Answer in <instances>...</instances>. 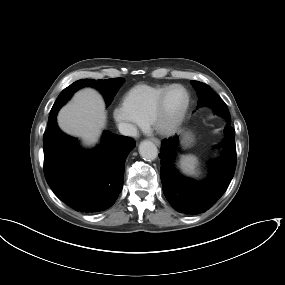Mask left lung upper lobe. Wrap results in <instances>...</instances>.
Returning <instances> with one entry per match:
<instances>
[{
	"label": "left lung upper lobe",
	"mask_w": 285,
	"mask_h": 285,
	"mask_svg": "<svg viewBox=\"0 0 285 285\" xmlns=\"http://www.w3.org/2000/svg\"><path fill=\"white\" fill-rule=\"evenodd\" d=\"M191 83L197 89L199 95L198 107L205 105L211 106L212 100L221 99L208 85L198 81H191ZM215 111L218 115L230 119L228 108L224 102L222 103V107L220 109H215Z\"/></svg>",
	"instance_id": "1"
}]
</instances>
